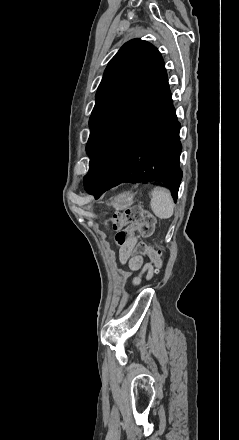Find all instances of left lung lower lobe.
I'll return each instance as SVG.
<instances>
[{"mask_svg": "<svg viewBox=\"0 0 239 440\" xmlns=\"http://www.w3.org/2000/svg\"><path fill=\"white\" fill-rule=\"evenodd\" d=\"M179 130L164 69L99 142L84 176L86 191L98 198L120 183L161 181L176 200L182 178Z\"/></svg>", "mask_w": 239, "mask_h": 440, "instance_id": "1", "label": "left lung lower lobe"}]
</instances>
